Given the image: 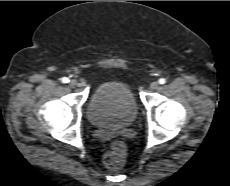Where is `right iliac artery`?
<instances>
[{
    "label": "right iliac artery",
    "instance_id": "obj_1",
    "mask_svg": "<svg viewBox=\"0 0 230 186\" xmlns=\"http://www.w3.org/2000/svg\"><path fill=\"white\" fill-rule=\"evenodd\" d=\"M61 82L62 83H68L69 79L67 77H63V78H61Z\"/></svg>",
    "mask_w": 230,
    "mask_h": 186
}]
</instances>
